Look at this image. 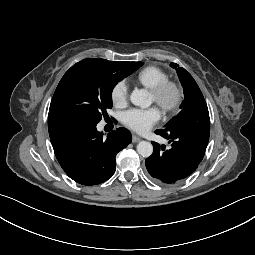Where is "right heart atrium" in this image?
<instances>
[{
	"mask_svg": "<svg viewBox=\"0 0 255 255\" xmlns=\"http://www.w3.org/2000/svg\"><path fill=\"white\" fill-rule=\"evenodd\" d=\"M111 100L114 106L123 107L128 101V86L125 81H118L111 90Z\"/></svg>",
	"mask_w": 255,
	"mask_h": 255,
	"instance_id": "1",
	"label": "right heart atrium"
}]
</instances>
